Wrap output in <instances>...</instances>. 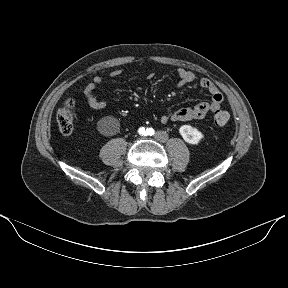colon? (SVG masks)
Masks as SVG:
<instances>
[{
    "mask_svg": "<svg viewBox=\"0 0 288 288\" xmlns=\"http://www.w3.org/2000/svg\"><path fill=\"white\" fill-rule=\"evenodd\" d=\"M74 106L72 99H67L57 111L56 121L60 132L69 135L74 130ZM229 121V114L223 110H217L214 114V122L217 126H224Z\"/></svg>",
    "mask_w": 288,
    "mask_h": 288,
    "instance_id": "obj_1",
    "label": "colon"
}]
</instances>
